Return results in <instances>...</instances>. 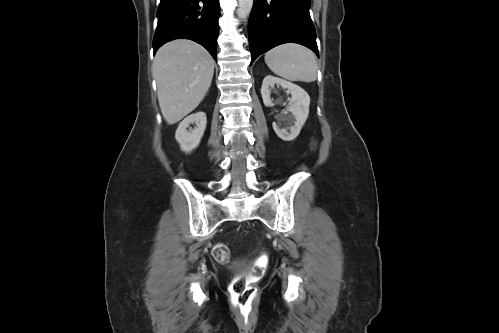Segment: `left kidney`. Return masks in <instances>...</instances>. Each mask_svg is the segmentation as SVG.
<instances>
[{"label":"left kidney","mask_w":499,"mask_h":333,"mask_svg":"<svg viewBox=\"0 0 499 333\" xmlns=\"http://www.w3.org/2000/svg\"><path fill=\"white\" fill-rule=\"evenodd\" d=\"M275 84L287 89V92L291 94V99L286 109L292 113L295 121H291L293 125L285 128H281L276 122H273L272 126L279 138L284 141H292L299 135L302 126L307 120L310 97L308 93L298 85L278 77L267 75L264 78L261 87L263 103L267 107L273 106V102L270 98V87H274Z\"/></svg>","instance_id":"1"}]
</instances>
